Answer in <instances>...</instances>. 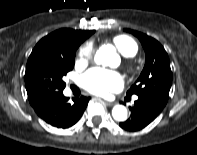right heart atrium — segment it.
Segmentation results:
<instances>
[{
    "mask_svg": "<svg viewBox=\"0 0 197 155\" xmlns=\"http://www.w3.org/2000/svg\"><path fill=\"white\" fill-rule=\"evenodd\" d=\"M93 54V45L91 43H86L79 50L77 62L81 64H86L92 59Z\"/></svg>",
    "mask_w": 197,
    "mask_h": 155,
    "instance_id": "d8ad5b80",
    "label": "right heart atrium"
}]
</instances>
